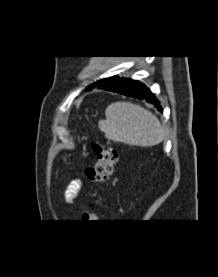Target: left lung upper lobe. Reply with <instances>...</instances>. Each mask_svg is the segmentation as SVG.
<instances>
[{
    "label": "left lung upper lobe",
    "mask_w": 218,
    "mask_h": 277,
    "mask_svg": "<svg viewBox=\"0 0 218 277\" xmlns=\"http://www.w3.org/2000/svg\"><path fill=\"white\" fill-rule=\"evenodd\" d=\"M106 79H107V78H104V79H101V80H99V81H97V82H94V84H91L90 86L87 87V90H91L92 87H93L94 85H95V86L100 85V84L103 83Z\"/></svg>",
    "instance_id": "5c2ea615"
}]
</instances>
